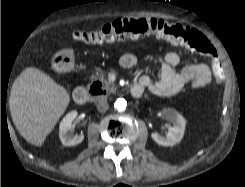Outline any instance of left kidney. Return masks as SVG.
I'll use <instances>...</instances> for the list:
<instances>
[{
	"label": "left kidney",
	"mask_w": 245,
	"mask_h": 187,
	"mask_svg": "<svg viewBox=\"0 0 245 187\" xmlns=\"http://www.w3.org/2000/svg\"><path fill=\"white\" fill-rule=\"evenodd\" d=\"M161 117L169 120L173 126L169 127L166 136L157 132L151 134L152 139L161 146H174L183 138L186 121L184 117L173 108H164L161 111Z\"/></svg>",
	"instance_id": "obj_1"
}]
</instances>
